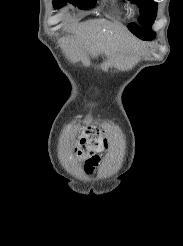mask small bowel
Listing matches in <instances>:
<instances>
[{"label":"small bowel","instance_id":"c3829d8e","mask_svg":"<svg viewBox=\"0 0 183 246\" xmlns=\"http://www.w3.org/2000/svg\"><path fill=\"white\" fill-rule=\"evenodd\" d=\"M100 162V156L98 154L92 155L85 163L84 171L87 175H91Z\"/></svg>","mask_w":183,"mask_h":246}]
</instances>
